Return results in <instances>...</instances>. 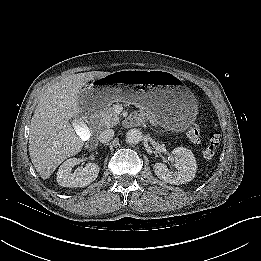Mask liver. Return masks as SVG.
<instances>
[{
	"mask_svg": "<svg viewBox=\"0 0 261 261\" xmlns=\"http://www.w3.org/2000/svg\"><path fill=\"white\" fill-rule=\"evenodd\" d=\"M109 74L103 71L72 74L44 90L32 116L29 134V155L42 179H48L65 159L81 151L83 138L69 121L81 113L82 88L89 81Z\"/></svg>",
	"mask_w": 261,
	"mask_h": 261,
	"instance_id": "1",
	"label": "liver"
}]
</instances>
